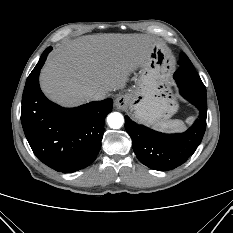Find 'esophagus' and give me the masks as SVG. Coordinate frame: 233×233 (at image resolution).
<instances>
[{
    "instance_id": "obj_1",
    "label": "esophagus",
    "mask_w": 233,
    "mask_h": 233,
    "mask_svg": "<svg viewBox=\"0 0 233 233\" xmlns=\"http://www.w3.org/2000/svg\"><path fill=\"white\" fill-rule=\"evenodd\" d=\"M114 105L117 109L119 110H123L125 108L128 107L129 105V98L127 96H118L115 101H114Z\"/></svg>"
}]
</instances>
